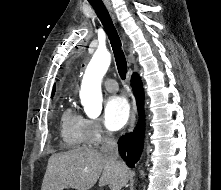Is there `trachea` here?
Listing matches in <instances>:
<instances>
[{
    "mask_svg": "<svg viewBox=\"0 0 221 190\" xmlns=\"http://www.w3.org/2000/svg\"><path fill=\"white\" fill-rule=\"evenodd\" d=\"M90 4L94 8L98 18L100 19L101 23L103 24L106 30V33L108 35V38L110 40V43L114 52L115 61H116L119 75L124 80L126 78V73H127V62H126L124 52L121 48L122 44H121L120 37L117 33V30L114 27L112 19L105 5L103 4L101 0L90 1Z\"/></svg>",
    "mask_w": 221,
    "mask_h": 190,
    "instance_id": "3493384b",
    "label": "trachea"
}]
</instances>
